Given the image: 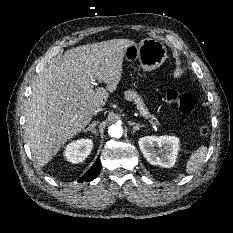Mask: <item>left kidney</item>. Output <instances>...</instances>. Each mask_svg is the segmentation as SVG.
I'll return each instance as SVG.
<instances>
[{
    "instance_id": "obj_1",
    "label": "left kidney",
    "mask_w": 233,
    "mask_h": 233,
    "mask_svg": "<svg viewBox=\"0 0 233 233\" xmlns=\"http://www.w3.org/2000/svg\"><path fill=\"white\" fill-rule=\"evenodd\" d=\"M139 148L152 165L171 168L179 151V138L176 136H145L139 139Z\"/></svg>"
}]
</instances>
